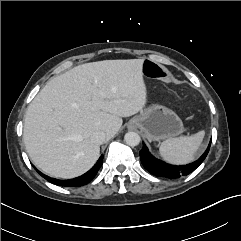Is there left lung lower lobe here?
I'll return each instance as SVG.
<instances>
[{
  "mask_svg": "<svg viewBox=\"0 0 241 241\" xmlns=\"http://www.w3.org/2000/svg\"><path fill=\"white\" fill-rule=\"evenodd\" d=\"M210 144L211 141L204 154L197 161L183 166L167 164L161 160L156 159L150 154L145 144H143V148L141 149L139 154L144 168L148 170L151 174L158 177L176 179L180 178L181 176L190 174L204 161L209 152Z\"/></svg>",
  "mask_w": 241,
  "mask_h": 241,
  "instance_id": "obj_1",
  "label": "left lung lower lobe"
}]
</instances>
